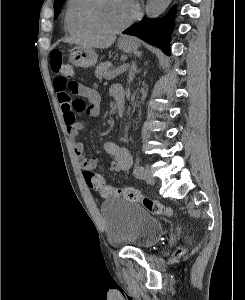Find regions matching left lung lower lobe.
Here are the masks:
<instances>
[{
  "label": "left lung lower lobe",
  "mask_w": 245,
  "mask_h": 300,
  "mask_svg": "<svg viewBox=\"0 0 245 300\" xmlns=\"http://www.w3.org/2000/svg\"><path fill=\"white\" fill-rule=\"evenodd\" d=\"M176 6H173L168 14L161 19H146L126 29L123 33L137 36L147 43L157 46L164 53L170 55V36L174 28Z\"/></svg>",
  "instance_id": "left-lung-lower-lobe-1"
}]
</instances>
